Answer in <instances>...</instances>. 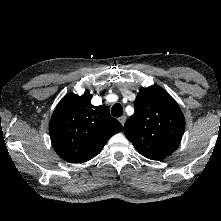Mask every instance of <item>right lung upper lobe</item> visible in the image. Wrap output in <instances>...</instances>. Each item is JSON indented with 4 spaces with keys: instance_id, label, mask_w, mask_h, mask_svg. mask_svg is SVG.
Listing matches in <instances>:
<instances>
[{
    "instance_id": "cb5924a9",
    "label": "right lung upper lobe",
    "mask_w": 221,
    "mask_h": 221,
    "mask_svg": "<svg viewBox=\"0 0 221 221\" xmlns=\"http://www.w3.org/2000/svg\"><path fill=\"white\" fill-rule=\"evenodd\" d=\"M92 97L89 92L82 96L67 95L51 117L49 133L53 148L68 162L83 163L92 159L114 134L123 131L108 107L91 104Z\"/></svg>"
}]
</instances>
